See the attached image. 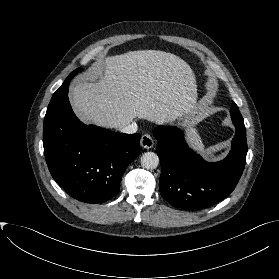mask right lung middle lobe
Returning a JSON list of instances; mask_svg holds the SVG:
<instances>
[{
	"instance_id": "1",
	"label": "right lung middle lobe",
	"mask_w": 279,
	"mask_h": 279,
	"mask_svg": "<svg viewBox=\"0 0 279 279\" xmlns=\"http://www.w3.org/2000/svg\"><path fill=\"white\" fill-rule=\"evenodd\" d=\"M79 70L80 69L78 68V69L74 70L73 72H71L70 75L63 82L62 86L54 93V95L49 103L47 112H49L52 109H54L55 107H57L63 101V99L67 96L69 83H70L71 79L79 72Z\"/></svg>"
}]
</instances>
